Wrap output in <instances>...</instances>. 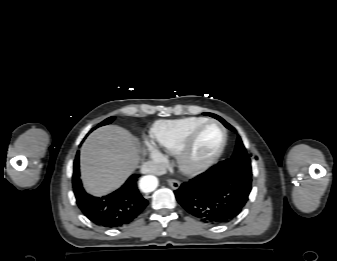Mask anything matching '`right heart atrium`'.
Masks as SVG:
<instances>
[{
  "label": "right heart atrium",
  "instance_id": "d8ad5b80",
  "mask_svg": "<svg viewBox=\"0 0 337 261\" xmlns=\"http://www.w3.org/2000/svg\"><path fill=\"white\" fill-rule=\"evenodd\" d=\"M149 152H150V155L151 157L155 160V161H158V162H162L163 161V156L161 155V153L155 149L154 147H149Z\"/></svg>",
  "mask_w": 337,
  "mask_h": 261
}]
</instances>
